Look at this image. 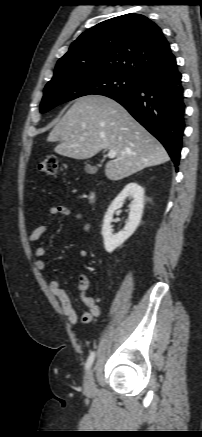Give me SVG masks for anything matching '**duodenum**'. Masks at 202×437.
I'll return each instance as SVG.
<instances>
[{"label":"duodenum","mask_w":202,"mask_h":437,"mask_svg":"<svg viewBox=\"0 0 202 437\" xmlns=\"http://www.w3.org/2000/svg\"><path fill=\"white\" fill-rule=\"evenodd\" d=\"M90 200H93V198H94V194H90Z\"/></svg>","instance_id":"obj_1"}]
</instances>
